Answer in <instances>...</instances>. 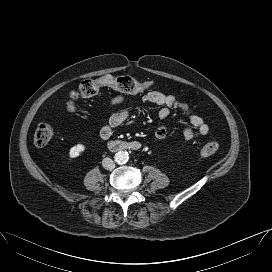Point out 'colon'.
<instances>
[{
    "label": "colon",
    "mask_w": 272,
    "mask_h": 272,
    "mask_svg": "<svg viewBox=\"0 0 272 272\" xmlns=\"http://www.w3.org/2000/svg\"><path fill=\"white\" fill-rule=\"evenodd\" d=\"M151 86V82H139L129 76H112L103 75L96 79L83 80L77 89L71 92L70 98L67 102V110H75V101L80 98H89L98 93V91L107 87L117 92L124 94H134L148 89ZM53 136L52 128L47 124H39L34 132V143L37 146L47 145ZM219 150V143L212 141L205 144L200 155L207 157L215 154Z\"/></svg>",
    "instance_id": "obj_1"
}]
</instances>
